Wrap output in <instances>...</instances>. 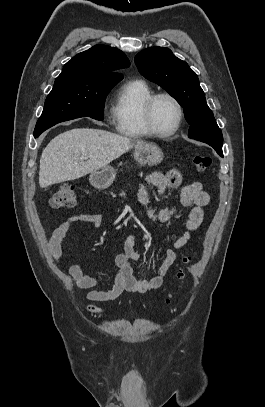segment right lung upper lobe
<instances>
[{"label": "right lung upper lobe", "instance_id": "cb5924a9", "mask_svg": "<svg viewBox=\"0 0 265 407\" xmlns=\"http://www.w3.org/2000/svg\"><path fill=\"white\" fill-rule=\"evenodd\" d=\"M129 66L130 62L122 51L106 45H95L67 62L58 77H68L78 82L118 83L123 76L113 71Z\"/></svg>", "mask_w": 265, "mask_h": 407}]
</instances>
